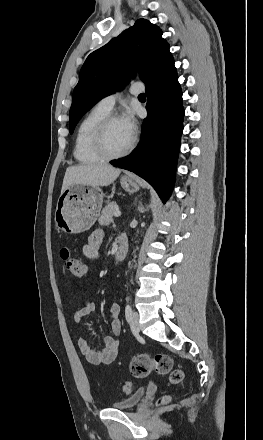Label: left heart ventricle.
Returning a JSON list of instances; mask_svg holds the SVG:
<instances>
[{
    "instance_id": "left-heart-ventricle-1",
    "label": "left heart ventricle",
    "mask_w": 263,
    "mask_h": 440,
    "mask_svg": "<svg viewBox=\"0 0 263 440\" xmlns=\"http://www.w3.org/2000/svg\"><path fill=\"white\" fill-rule=\"evenodd\" d=\"M105 140L109 151L117 153L129 144L131 137L125 131L121 121L116 120L108 126Z\"/></svg>"
}]
</instances>
